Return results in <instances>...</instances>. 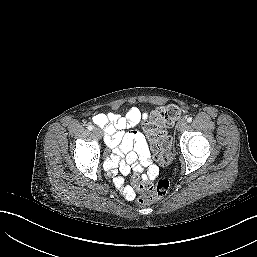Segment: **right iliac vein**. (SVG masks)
<instances>
[{
    "label": "right iliac vein",
    "mask_w": 257,
    "mask_h": 257,
    "mask_svg": "<svg viewBox=\"0 0 257 257\" xmlns=\"http://www.w3.org/2000/svg\"><path fill=\"white\" fill-rule=\"evenodd\" d=\"M93 134H94L95 136H97L98 138H101V137H102V132H101L99 129H97V128H94V129H93Z\"/></svg>",
    "instance_id": "63e3f726"
}]
</instances>
